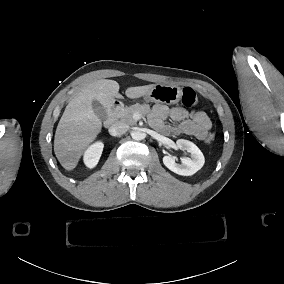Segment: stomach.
I'll list each match as a JSON object with an SVG mask.
<instances>
[{
    "mask_svg": "<svg viewBox=\"0 0 284 284\" xmlns=\"http://www.w3.org/2000/svg\"><path fill=\"white\" fill-rule=\"evenodd\" d=\"M149 100L165 105L179 103L182 98V89L180 86L168 84H156L148 95Z\"/></svg>",
    "mask_w": 284,
    "mask_h": 284,
    "instance_id": "obj_1",
    "label": "stomach"
}]
</instances>
